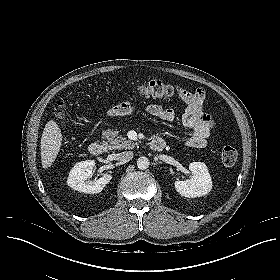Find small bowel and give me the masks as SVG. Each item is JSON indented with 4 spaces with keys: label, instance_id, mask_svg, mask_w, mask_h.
<instances>
[{
    "label": "small bowel",
    "instance_id": "1",
    "mask_svg": "<svg viewBox=\"0 0 280 280\" xmlns=\"http://www.w3.org/2000/svg\"><path fill=\"white\" fill-rule=\"evenodd\" d=\"M177 92L179 98L185 103L182 113V124L191 132L187 145L193 148H203L207 145L214 127L212 117L204 111L206 92L203 89L191 92L182 88H178ZM121 105L110 108L108 110L109 115L112 117L124 116L121 113ZM146 112L164 122H172L175 119L174 110L160 104L148 105Z\"/></svg>",
    "mask_w": 280,
    "mask_h": 280
}]
</instances>
